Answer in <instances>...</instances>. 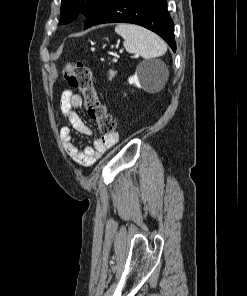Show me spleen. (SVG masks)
<instances>
[{
    "instance_id": "1",
    "label": "spleen",
    "mask_w": 247,
    "mask_h": 296,
    "mask_svg": "<svg viewBox=\"0 0 247 296\" xmlns=\"http://www.w3.org/2000/svg\"><path fill=\"white\" fill-rule=\"evenodd\" d=\"M117 34L123 37V46L129 53L142 56L144 59L156 58L166 53L165 42L155 33L134 24H118Z\"/></svg>"
}]
</instances>
